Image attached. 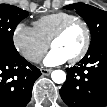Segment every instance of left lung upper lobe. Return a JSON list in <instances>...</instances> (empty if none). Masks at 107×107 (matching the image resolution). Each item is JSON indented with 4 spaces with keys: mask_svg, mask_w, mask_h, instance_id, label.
Masks as SVG:
<instances>
[{
    "mask_svg": "<svg viewBox=\"0 0 107 107\" xmlns=\"http://www.w3.org/2000/svg\"><path fill=\"white\" fill-rule=\"evenodd\" d=\"M66 9H75L86 21L91 32L90 48L98 43L107 41V12L84 3L67 5Z\"/></svg>",
    "mask_w": 107,
    "mask_h": 107,
    "instance_id": "obj_1",
    "label": "left lung upper lobe"
}]
</instances>
